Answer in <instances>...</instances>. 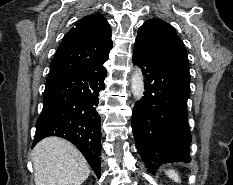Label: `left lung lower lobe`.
<instances>
[{"label":"left lung lower lobe","instance_id":"obj_1","mask_svg":"<svg viewBox=\"0 0 233 185\" xmlns=\"http://www.w3.org/2000/svg\"><path fill=\"white\" fill-rule=\"evenodd\" d=\"M132 61L142 68L145 78L144 96L131 117L141 158L152 173L162 163L190 162L189 65L155 54L137 42Z\"/></svg>","mask_w":233,"mask_h":185}]
</instances>
